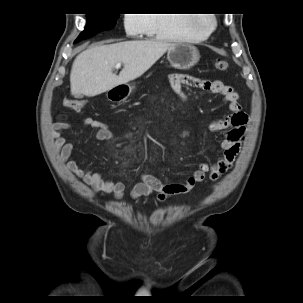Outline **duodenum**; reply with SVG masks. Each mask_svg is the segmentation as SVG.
I'll return each mask as SVG.
<instances>
[{
	"instance_id": "1",
	"label": "duodenum",
	"mask_w": 303,
	"mask_h": 303,
	"mask_svg": "<svg viewBox=\"0 0 303 303\" xmlns=\"http://www.w3.org/2000/svg\"><path fill=\"white\" fill-rule=\"evenodd\" d=\"M126 91L124 89H116L115 90V99L120 100L125 96Z\"/></svg>"
}]
</instances>
